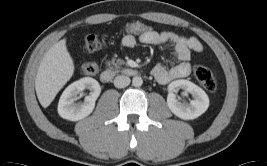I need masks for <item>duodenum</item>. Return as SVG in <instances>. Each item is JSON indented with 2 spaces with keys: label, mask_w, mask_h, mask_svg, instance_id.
Instances as JSON below:
<instances>
[{
  "label": "duodenum",
  "mask_w": 267,
  "mask_h": 166,
  "mask_svg": "<svg viewBox=\"0 0 267 166\" xmlns=\"http://www.w3.org/2000/svg\"><path fill=\"white\" fill-rule=\"evenodd\" d=\"M118 74L135 77L139 74V72L136 69L128 68V67H125L119 70L104 69L100 73V80L103 83H110L113 80V78L117 76Z\"/></svg>",
  "instance_id": "1"
}]
</instances>
